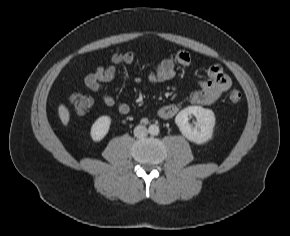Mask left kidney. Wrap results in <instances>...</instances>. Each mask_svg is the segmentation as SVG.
<instances>
[{"instance_id":"5707ae66","label":"left kidney","mask_w":290,"mask_h":236,"mask_svg":"<svg viewBox=\"0 0 290 236\" xmlns=\"http://www.w3.org/2000/svg\"><path fill=\"white\" fill-rule=\"evenodd\" d=\"M191 115L197 118L195 126L189 123ZM215 120V114L212 110L201 106H189L177 114L175 123L182 135L189 141L203 144L212 138Z\"/></svg>"}]
</instances>
